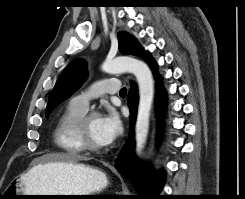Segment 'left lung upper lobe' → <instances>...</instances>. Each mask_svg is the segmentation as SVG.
<instances>
[{
	"label": "left lung upper lobe",
	"instance_id": "left-lung-upper-lobe-1",
	"mask_svg": "<svg viewBox=\"0 0 245 199\" xmlns=\"http://www.w3.org/2000/svg\"><path fill=\"white\" fill-rule=\"evenodd\" d=\"M119 50L124 55H134L145 58L143 51L134 37L125 32L118 33ZM86 77V66L83 60L72 61L61 73L48 100L46 117L62 101L67 99L82 84Z\"/></svg>",
	"mask_w": 245,
	"mask_h": 199
}]
</instances>
